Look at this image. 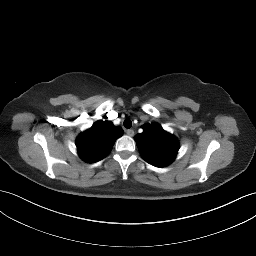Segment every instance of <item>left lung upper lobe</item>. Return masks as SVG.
<instances>
[{
    "instance_id": "left-lung-upper-lobe-1",
    "label": "left lung upper lobe",
    "mask_w": 256,
    "mask_h": 256,
    "mask_svg": "<svg viewBox=\"0 0 256 256\" xmlns=\"http://www.w3.org/2000/svg\"><path fill=\"white\" fill-rule=\"evenodd\" d=\"M142 128L143 132L134 137L142 157L156 167L170 164L178 152V140L158 123L145 124Z\"/></svg>"
}]
</instances>
